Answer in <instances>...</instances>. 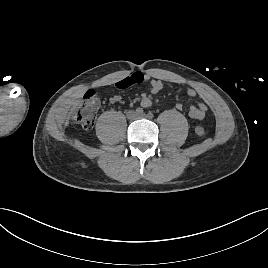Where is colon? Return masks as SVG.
<instances>
[{
    "instance_id": "colon-1",
    "label": "colon",
    "mask_w": 268,
    "mask_h": 268,
    "mask_svg": "<svg viewBox=\"0 0 268 268\" xmlns=\"http://www.w3.org/2000/svg\"><path fill=\"white\" fill-rule=\"evenodd\" d=\"M131 82L128 79L120 82L118 88H127L131 86ZM99 107V98L94 90H89L85 93L81 103L76 106L72 111V120L75 124L79 125L85 130H89L93 127L96 112ZM206 131L201 125L195 127V134L198 137H203Z\"/></svg>"
}]
</instances>
